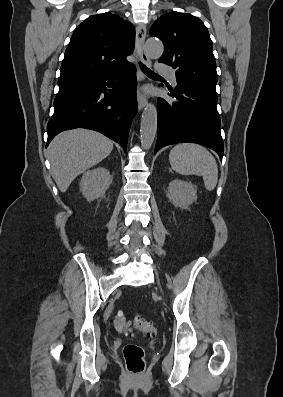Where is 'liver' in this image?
Wrapping results in <instances>:
<instances>
[{
    "mask_svg": "<svg viewBox=\"0 0 283 397\" xmlns=\"http://www.w3.org/2000/svg\"><path fill=\"white\" fill-rule=\"evenodd\" d=\"M112 149L113 142L95 131L74 129L58 134L48 153L59 190L65 192L79 174L105 159Z\"/></svg>",
    "mask_w": 283,
    "mask_h": 397,
    "instance_id": "obj_1",
    "label": "liver"
}]
</instances>
